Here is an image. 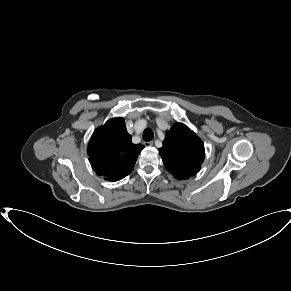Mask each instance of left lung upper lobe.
I'll return each instance as SVG.
<instances>
[{
  "instance_id": "obj_1",
  "label": "left lung upper lobe",
  "mask_w": 291,
  "mask_h": 291,
  "mask_svg": "<svg viewBox=\"0 0 291 291\" xmlns=\"http://www.w3.org/2000/svg\"><path fill=\"white\" fill-rule=\"evenodd\" d=\"M166 169L177 179L194 176L204 160V144L186 125L176 123L166 132L159 149Z\"/></svg>"
}]
</instances>
